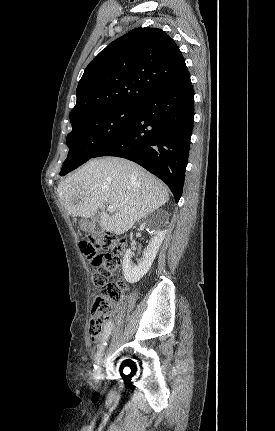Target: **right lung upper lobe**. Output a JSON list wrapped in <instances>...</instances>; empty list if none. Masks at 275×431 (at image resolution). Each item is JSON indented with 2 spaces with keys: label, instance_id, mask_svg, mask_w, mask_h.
<instances>
[{
  "label": "right lung upper lobe",
  "instance_id": "obj_1",
  "mask_svg": "<svg viewBox=\"0 0 275 431\" xmlns=\"http://www.w3.org/2000/svg\"><path fill=\"white\" fill-rule=\"evenodd\" d=\"M187 71L181 51L164 31L133 29L89 63L78 83L70 121L110 107H137Z\"/></svg>",
  "mask_w": 275,
  "mask_h": 431
}]
</instances>
